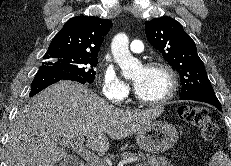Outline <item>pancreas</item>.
I'll use <instances>...</instances> for the list:
<instances>
[{
	"label": "pancreas",
	"mask_w": 231,
	"mask_h": 166,
	"mask_svg": "<svg viewBox=\"0 0 231 166\" xmlns=\"http://www.w3.org/2000/svg\"><path fill=\"white\" fill-rule=\"evenodd\" d=\"M121 157L123 159L137 158L140 162L136 166H173L171 161L165 157H156L155 155H148L142 152H123ZM87 166H107V163L105 161L98 165L89 163Z\"/></svg>",
	"instance_id": "cf45deb5"
}]
</instances>
